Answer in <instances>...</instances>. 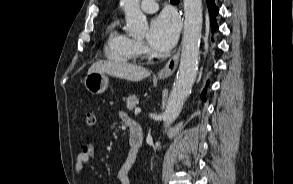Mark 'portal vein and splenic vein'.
Masks as SVG:
<instances>
[{"mask_svg":"<svg viewBox=\"0 0 293 184\" xmlns=\"http://www.w3.org/2000/svg\"><path fill=\"white\" fill-rule=\"evenodd\" d=\"M135 114H138V113H140L141 112V109L140 108H135Z\"/></svg>","mask_w":293,"mask_h":184,"instance_id":"1","label":"portal vein and splenic vein"}]
</instances>
